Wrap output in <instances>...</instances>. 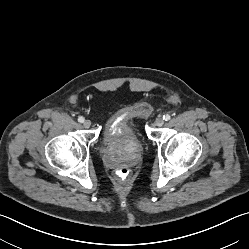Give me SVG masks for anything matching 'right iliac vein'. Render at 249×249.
Returning <instances> with one entry per match:
<instances>
[{
  "label": "right iliac vein",
  "mask_w": 249,
  "mask_h": 249,
  "mask_svg": "<svg viewBox=\"0 0 249 249\" xmlns=\"http://www.w3.org/2000/svg\"><path fill=\"white\" fill-rule=\"evenodd\" d=\"M85 128H89L91 126V121L90 120H85L83 123Z\"/></svg>",
  "instance_id": "right-iliac-vein-1"
}]
</instances>
